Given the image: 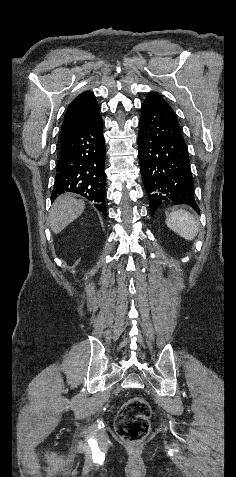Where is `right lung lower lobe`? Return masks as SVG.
<instances>
[{
	"label": "right lung lower lobe",
	"instance_id": "right-lung-lower-lobe-1",
	"mask_svg": "<svg viewBox=\"0 0 236 477\" xmlns=\"http://www.w3.org/2000/svg\"><path fill=\"white\" fill-rule=\"evenodd\" d=\"M100 114L83 130L61 142L51 199L73 192L94 203L104 215L105 205V142Z\"/></svg>",
	"mask_w": 236,
	"mask_h": 477
}]
</instances>
